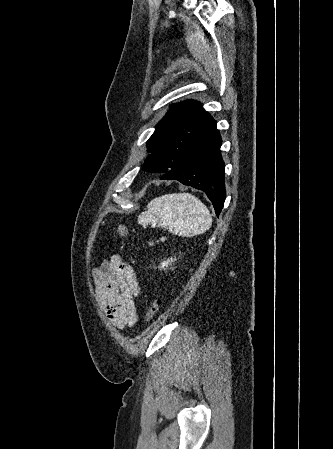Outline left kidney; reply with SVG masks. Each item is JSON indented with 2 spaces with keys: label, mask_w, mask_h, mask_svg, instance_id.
I'll list each match as a JSON object with an SVG mask.
<instances>
[{
  "label": "left kidney",
  "mask_w": 333,
  "mask_h": 449,
  "mask_svg": "<svg viewBox=\"0 0 333 449\" xmlns=\"http://www.w3.org/2000/svg\"><path fill=\"white\" fill-rule=\"evenodd\" d=\"M175 260V259H174ZM173 262V259L171 258V259H168V260H166V261H163L162 263H161V268H164L165 266L166 267H168V265H171V263Z\"/></svg>",
  "instance_id": "left-kidney-1"
}]
</instances>
